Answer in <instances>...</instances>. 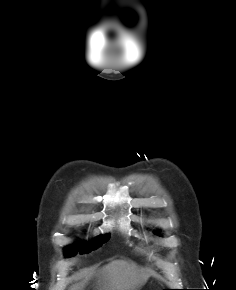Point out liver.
Wrapping results in <instances>:
<instances>
[{"label": "liver", "mask_w": 236, "mask_h": 290, "mask_svg": "<svg viewBox=\"0 0 236 290\" xmlns=\"http://www.w3.org/2000/svg\"><path fill=\"white\" fill-rule=\"evenodd\" d=\"M98 272L100 290H137L148 278L136 264L124 260H115ZM93 274V272L86 274L85 280Z\"/></svg>", "instance_id": "6515ba94"}]
</instances>
